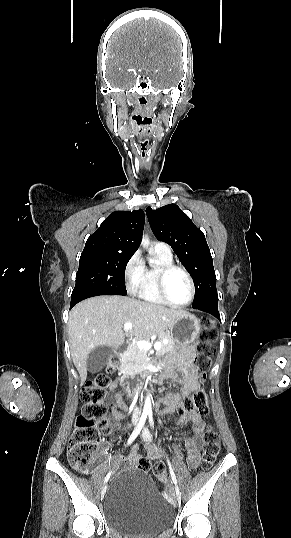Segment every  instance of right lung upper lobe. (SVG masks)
Returning a JSON list of instances; mask_svg holds the SVG:
<instances>
[{
  "instance_id": "obj_1",
  "label": "right lung upper lobe",
  "mask_w": 291,
  "mask_h": 538,
  "mask_svg": "<svg viewBox=\"0 0 291 538\" xmlns=\"http://www.w3.org/2000/svg\"><path fill=\"white\" fill-rule=\"evenodd\" d=\"M145 222L142 209L115 211L87 239L83 252L105 251L134 254L139 245Z\"/></svg>"
}]
</instances>
